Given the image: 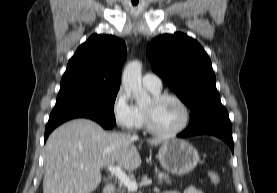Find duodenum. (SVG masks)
<instances>
[{
	"label": "duodenum",
	"instance_id": "1",
	"mask_svg": "<svg viewBox=\"0 0 277 193\" xmlns=\"http://www.w3.org/2000/svg\"><path fill=\"white\" fill-rule=\"evenodd\" d=\"M103 193H115V185L107 184L103 189Z\"/></svg>",
	"mask_w": 277,
	"mask_h": 193
}]
</instances>
